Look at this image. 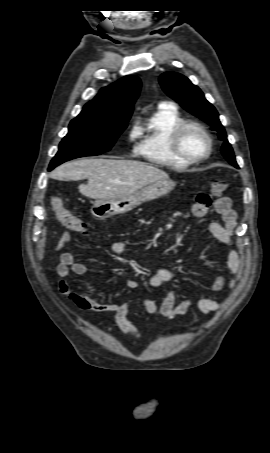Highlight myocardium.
Wrapping results in <instances>:
<instances>
[{
  "mask_svg": "<svg viewBox=\"0 0 270 453\" xmlns=\"http://www.w3.org/2000/svg\"><path fill=\"white\" fill-rule=\"evenodd\" d=\"M189 128H195V129L199 130L205 136V138L207 140V150L201 156L192 157V156L187 155L182 150V147H181L182 135ZM170 146H171L172 152L179 159H181L184 162L190 163V164H195V163L202 162L210 157V155L212 154V150H213V140H212L211 134L209 133V131L206 129V127L203 124L196 122V121H183L178 126H176V128L172 131L171 136H170Z\"/></svg>",
  "mask_w": 270,
  "mask_h": 453,
  "instance_id": "f54148a6",
  "label": "myocardium"
}]
</instances>
